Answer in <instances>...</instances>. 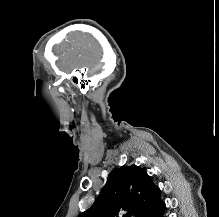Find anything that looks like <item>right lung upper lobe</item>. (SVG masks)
Wrapping results in <instances>:
<instances>
[{
  "mask_svg": "<svg viewBox=\"0 0 219 217\" xmlns=\"http://www.w3.org/2000/svg\"><path fill=\"white\" fill-rule=\"evenodd\" d=\"M160 189L139 166L114 169L95 203L78 217H158Z\"/></svg>",
  "mask_w": 219,
  "mask_h": 217,
  "instance_id": "1",
  "label": "right lung upper lobe"
}]
</instances>
